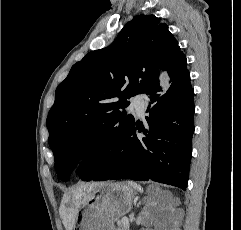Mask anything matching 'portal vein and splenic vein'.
I'll return each instance as SVG.
<instances>
[{"label": "portal vein and splenic vein", "mask_w": 241, "mask_h": 230, "mask_svg": "<svg viewBox=\"0 0 241 230\" xmlns=\"http://www.w3.org/2000/svg\"><path fill=\"white\" fill-rule=\"evenodd\" d=\"M122 224H123V225H128V224H129L128 218H123V219H122Z\"/></svg>", "instance_id": "obj_1"}]
</instances>
